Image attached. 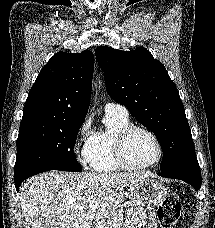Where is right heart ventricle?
Segmentation results:
<instances>
[{
    "mask_svg": "<svg viewBox=\"0 0 215 228\" xmlns=\"http://www.w3.org/2000/svg\"><path fill=\"white\" fill-rule=\"evenodd\" d=\"M129 124V115L119 112L106 113V128L91 134L84 146V158L89 169L99 173L122 170L115 158L114 141L117 134Z\"/></svg>",
    "mask_w": 215,
    "mask_h": 228,
    "instance_id": "1",
    "label": "right heart ventricle"
}]
</instances>
